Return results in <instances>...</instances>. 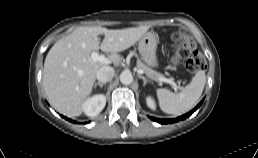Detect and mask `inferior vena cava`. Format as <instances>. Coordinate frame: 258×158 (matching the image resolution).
<instances>
[{"mask_svg": "<svg viewBox=\"0 0 258 158\" xmlns=\"http://www.w3.org/2000/svg\"><path fill=\"white\" fill-rule=\"evenodd\" d=\"M115 71L112 67L105 66L98 70L96 78L101 83H107L111 81L114 77Z\"/></svg>", "mask_w": 258, "mask_h": 158, "instance_id": "1", "label": "inferior vena cava"}]
</instances>
